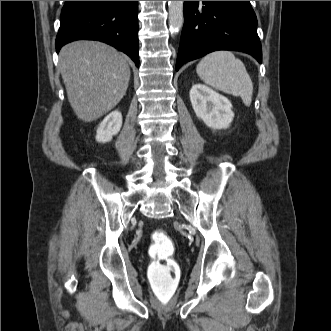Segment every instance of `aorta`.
I'll list each match as a JSON object with an SVG mask.
<instances>
[{
  "label": "aorta",
  "instance_id": "1",
  "mask_svg": "<svg viewBox=\"0 0 331 331\" xmlns=\"http://www.w3.org/2000/svg\"><path fill=\"white\" fill-rule=\"evenodd\" d=\"M183 4L184 1H168L169 29L171 34H177L183 26Z\"/></svg>",
  "mask_w": 331,
  "mask_h": 331
}]
</instances>
